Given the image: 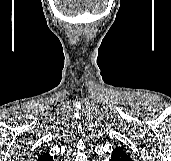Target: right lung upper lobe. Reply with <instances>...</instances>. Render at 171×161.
I'll return each instance as SVG.
<instances>
[{"instance_id":"1","label":"right lung upper lobe","mask_w":171,"mask_h":161,"mask_svg":"<svg viewBox=\"0 0 171 161\" xmlns=\"http://www.w3.org/2000/svg\"><path fill=\"white\" fill-rule=\"evenodd\" d=\"M38 161H53V157L49 155L48 152L43 153L38 156Z\"/></svg>"}]
</instances>
